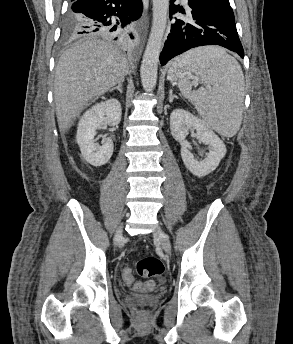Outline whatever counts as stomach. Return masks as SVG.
Instances as JSON below:
<instances>
[{
  "label": "stomach",
  "instance_id": "stomach-1",
  "mask_svg": "<svg viewBox=\"0 0 293 344\" xmlns=\"http://www.w3.org/2000/svg\"><path fill=\"white\" fill-rule=\"evenodd\" d=\"M187 76V70L179 66L175 61L168 70V79L173 83L187 79Z\"/></svg>",
  "mask_w": 293,
  "mask_h": 344
}]
</instances>
